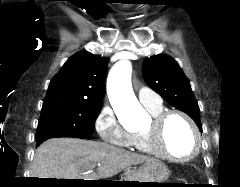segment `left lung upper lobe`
<instances>
[{"label": "left lung upper lobe", "mask_w": 240, "mask_h": 187, "mask_svg": "<svg viewBox=\"0 0 240 187\" xmlns=\"http://www.w3.org/2000/svg\"><path fill=\"white\" fill-rule=\"evenodd\" d=\"M142 72L146 83L169 104L187 113L202 131L198 103L189 80L178 63L168 55L146 58Z\"/></svg>", "instance_id": "1"}]
</instances>
